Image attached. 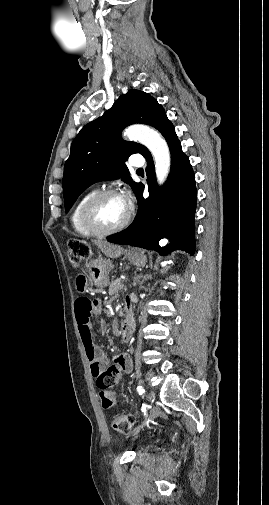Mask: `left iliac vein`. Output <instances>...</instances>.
Listing matches in <instances>:
<instances>
[{
    "mask_svg": "<svg viewBox=\"0 0 269 505\" xmlns=\"http://www.w3.org/2000/svg\"><path fill=\"white\" fill-rule=\"evenodd\" d=\"M160 412H161V409H160L159 407H154V408H152V409L150 410V414H149V421H148V422H150V421L154 420V419L158 416V414H159ZM148 422H147V423H148ZM141 429H143V426H142V427H140V428H139V429L135 432V437H137V435H138V433L140 432V430H141Z\"/></svg>",
    "mask_w": 269,
    "mask_h": 505,
    "instance_id": "left-iliac-vein-1",
    "label": "left iliac vein"
}]
</instances>
